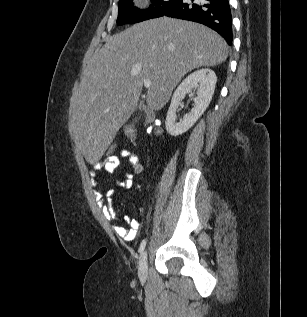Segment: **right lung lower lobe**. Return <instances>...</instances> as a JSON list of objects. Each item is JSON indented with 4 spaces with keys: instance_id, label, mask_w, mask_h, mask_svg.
<instances>
[{
    "instance_id": "1",
    "label": "right lung lower lobe",
    "mask_w": 307,
    "mask_h": 317,
    "mask_svg": "<svg viewBox=\"0 0 307 317\" xmlns=\"http://www.w3.org/2000/svg\"><path fill=\"white\" fill-rule=\"evenodd\" d=\"M196 1V3H189L187 0H176L161 16L204 24L219 33L231 45L232 17L228 0Z\"/></svg>"
}]
</instances>
